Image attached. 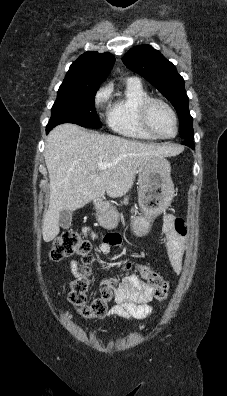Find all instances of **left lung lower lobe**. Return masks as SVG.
<instances>
[{"mask_svg": "<svg viewBox=\"0 0 227 396\" xmlns=\"http://www.w3.org/2000/svg\"><path fill=\"white\" fill-rule=\"evenodd\" d=\"M194 139V136L186 138L185 141L182 143L184 145H187L189 147H191L192 149L194 148L193 142L192 140Z\"/></svg>", "mask_w": 227, "mask_h": 396, "instance_id": "1", "label": "left lung lower lobe"}]
</instances>
